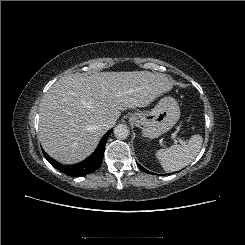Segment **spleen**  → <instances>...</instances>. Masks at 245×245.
I'll use <instances>...</instances> for the list:
<instances>
[{"label":"spleen","mask_w":245,"mask_h":245,"mask_svg":"<svg viewBox=\"0 0 245 245\" xmlns=\"http://www.w3.org/2000/svg\"><path fill=\"white\" fill-rule=\"evenodd\" d=\"M202 142V136L195 134L190 137L185 146L174 144L167 149L158 150L155 155L165 171H178L196 158Z\"/></svg>","instance_id":"3e777b00"}]
</instances>
